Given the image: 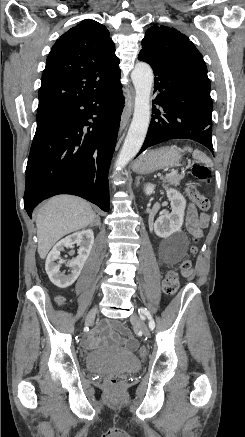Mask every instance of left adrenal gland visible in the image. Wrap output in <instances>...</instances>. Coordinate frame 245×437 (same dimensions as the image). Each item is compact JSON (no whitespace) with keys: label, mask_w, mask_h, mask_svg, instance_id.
<instances>
[{"label":"left adrenal gland","mask_w":245,"mask_h":437,"mask_svg":"<svg viewBox=\"0 0 245 437\" xmlns=\"http://www.w3.org/2000/svg\"><path fill=\"white\" fill-rule=\"evenodd\" d=\"M139 183H140V177H137V178H136V186H137V187L139 186Z\"/></svg>","instance_id":"obj_1"}]
</instances>
